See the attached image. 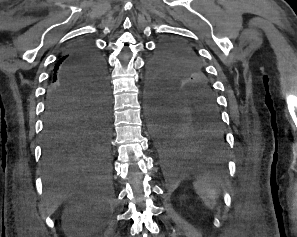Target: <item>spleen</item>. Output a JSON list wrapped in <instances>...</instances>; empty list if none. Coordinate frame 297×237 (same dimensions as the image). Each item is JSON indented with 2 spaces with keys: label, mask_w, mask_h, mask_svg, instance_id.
I'll use <instances>...</instances> for the list:
<instances>
[{
  "label": "spleen",
  "mask_w": 297,
  "mask_h": 237,
  "mask_svg": "<svg viewBox=\"0 0 297 237\" xmlns=\"http://www.w3.org/2000/svg\"><path fill=\"white\" fill-rule=\"evenodd\" d=\"M216 182H210L206 179H200L194 182V188L198 196L202 199L205 206L214 209L217 199Z\"/></svg>",
  "instance_id": "spleen-1"
}]
</instances>
